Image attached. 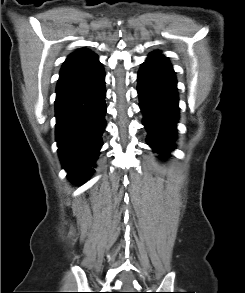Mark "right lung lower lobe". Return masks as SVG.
<instances>
[{"instance_id": "obj_1", "label": "right lung lower lobe", "mask_w": 245, "mask_h": 293, "mask_svg": "<svg viewBox=\"0 0 245 293\" xmlns=\"http://www.w3.org/2000/svg\"><path fill=\"white\" fill-rule=\"evenodd\" d=\"M105 72L93 73L56 90L55 116L58 153L74 183L87 179L96 166L106 127Z\"/></svg>"}]
</instances>
